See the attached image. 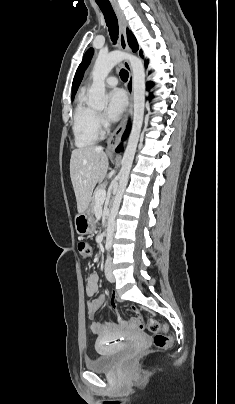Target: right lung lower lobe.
<instances>
[{
	"mask_svg": "<svg viewBox=\"0 0 235 404\" xmlns=\"http://www.w3.org/2000/svg\"><path fill=\"white\" fill-rule=\"evenodd\" d=\"M121 150H122V146L120 145V146L117 147L116 151L120 152Z\"/></svg>",
	"mask_w": 235,
	"mask_h": 404,
	"instance_id": "obj_1",
	"label": "right lung lower lobe"
}]
</instances>
